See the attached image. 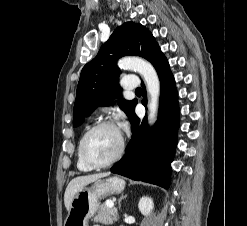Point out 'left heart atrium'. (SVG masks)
Instances as JSON below:
<instances>
[{
	"label": "left heart atrium",
	"instance_id": "1",
	"mask_svg": "<svg viewBox=\"0 0 247 226\" xmlns=\"http://www.w3.org/2000/svg\"><path fill=\"white\" fill-rule=\"evenodd\" d=\"M121 127L123 130H127V123L126 122H122Z\"/></svg>",
	"mask_w": 247,
	"mask_h": 226
}]
</instances>
